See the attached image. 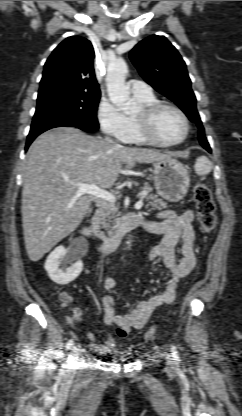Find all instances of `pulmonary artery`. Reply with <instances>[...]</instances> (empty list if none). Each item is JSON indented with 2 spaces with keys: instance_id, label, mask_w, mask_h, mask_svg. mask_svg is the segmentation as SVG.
Instances as JSON below:
<instances>
[{
  "instance_id": "obj_1",
  "label": "pulmonary artery",
  "mask_w": 242,
  "mask_h": 416,
  "mask_svg": "<svg viewBox=\"0 0 242 416\" xmlns=\"http://www.w3.org/2000/svg\"><path fill=\"white\" fill-rule=\"evenodd\" d=\"M129 85L130 90L134 96H147L152 93V88L150 85L143 81L130 80Z\"/></svg>"
}]
</instances>
